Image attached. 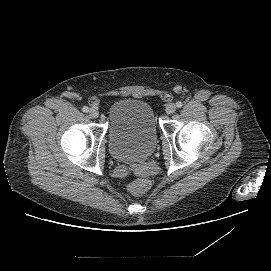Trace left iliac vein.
I'll return each mask as SVG.
<instances>
[{
    "label": "left iliac vein",
    "mask_w": 271,
    "mask_h": 271,
    "mask_svg": "<svg viewBox=\"0 0 271 271\" xmlns=\"http://www.w3.org/2000/svg\"><path fill=\"white\" fill-rule=\"evenodd\" d=\"M165 111H166L167 114H172V113H174V112L176 111V105L173 104V103L167 105Z\"/></svg>",
    "instance_id": "left-iliac-vein-1"
}]
</instances>
